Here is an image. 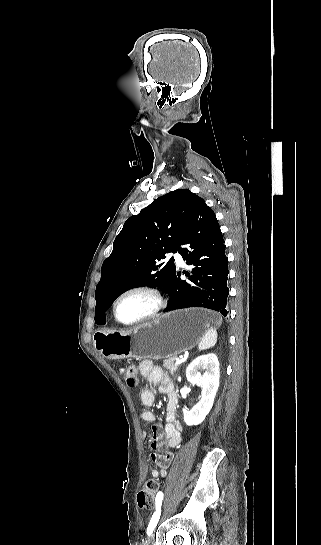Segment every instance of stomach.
Returning <instances> with one entry per match:
<instances>
[{"label": "stomach", "instance_id": "1", "mask_svg": "<svg viewBox=\"0 0 321 545\" xmlns=\"http://www.w3.org/2000/svg\"><path fill=\"white\" fill-rule=\"evenodd\" d=\"M218 313L207 309H182L160 315L130 331L97 329L96 351L107 359H170L193 349L206 331L220 323Z\"/></svg>", "mask_w": 321, "mask_h": 545}]
</instances>
